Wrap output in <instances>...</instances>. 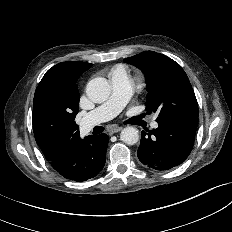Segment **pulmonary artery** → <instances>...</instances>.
<instances>
[{
  "label": "pulmonary artery",
  "mask_w": 232,
  "mask_h": 232,
  "mask_svg": "<svg viewBox=\"0 0 232 232\" xmlns=\"http://www.w3.org/2000/svg\"><path fill=\"white\" fill-rule=\"evenodd\" d=\"M112 92L101 105L90 111L82 120V129L88 131L95 125L117 116L129 101L132 93L131 79L123 66L113 69L109 75ZM152 128H157L156 121L151 122Z\"/></svg>",
  "instance_id": "pulmonary-artery-1"
}]
</instances>
